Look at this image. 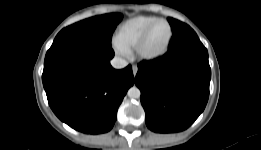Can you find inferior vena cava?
<instances>
[{
	"label": "inferior vena cava",
	"mask_w": 261,
	"mask_h": 150,
	"mask_svg": "<svg viewBox=\"0 0 261 150\" xmlns=\"http://www.w3.org/2000/svg\"><path fill=\"white\" fill-rule=\"evenodd\" d=\"M111 65L115 69H122V68H125L128 65V62L123 58L114 57L111 60Z\"/></svg>",
	"instance_id": "inferior-vena-cava-1"
}]
</instances>
